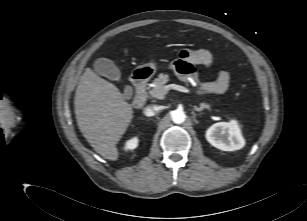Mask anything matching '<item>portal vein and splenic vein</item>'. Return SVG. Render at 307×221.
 I'll list each match as a JSON object with an SVG mask.
<instances>
[{
  "mask_svg": "<svg viewBox=\"0 0 307 221\" xmlns=\"http://www.w3.org/2000/svg\"><path fill=\"white\" fill-rule=\"evenodd\" d=\"M170 89L178 90V91H181V92H184V93H190V90L187 89L184 86L176 85V84H169V85L165 86V88L163 90V94L165 95Z\"/></svg>",
  "mask_w": 307,
  "mask_h": 221,
  "instance_id": "obj_1",
  "label": "portal vein and splenic vein"
}]
</instances>
